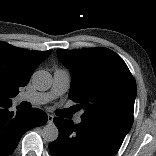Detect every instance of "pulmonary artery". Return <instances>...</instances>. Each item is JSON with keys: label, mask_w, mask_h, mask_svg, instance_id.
I'll use <instances>...</instances> for the list:
<instances>
[{"label": "pulmonary artery", "mask_w": 156, "mask_h": 156, "mask_svg": "<svg viewBox=\"0 0 156 156\" xmlns=\"http://www.w3.org/2000/svg\"><path fill=\"white\" fill-rule=\"evenodd\" d=\"M71 78L67 70L56 69L53 74V82L48 92H24L19 96L21 101H27L32 104H44L61 95H63L70 87ZM82 121L81 114L74 118L76 124Z\"/></svg>", "instance_id": "e3ab8cb5"}]
</instances>
